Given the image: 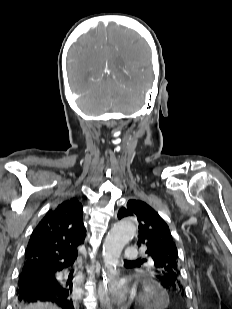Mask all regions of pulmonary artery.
Wrapping results in <instances>:
<instances>
[{"label": "pulmonary artery", "instance_id": "e3ab8cb5", "mask_svg": "<svg viewBox=\"0 0 232 309\" xmlns=\"http://www.w3.org/2000/svg\"><path fill=\"white\" fill-rule=\"evenodd\" d=\"M124 257L127 260H136L138 258V251L134 247H129L124 252Z\"/></svg>", "mask_w": 232, "mask_h": 309}]
</instances>
